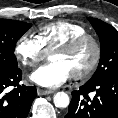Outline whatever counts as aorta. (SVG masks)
Segmentation results:
<instances>
[{
	"label": "aorta",
	"instance_id": "1",
	"mask_svg": "<svg viewBox=\"0 0 118 118\" xmlns=\"http://www.w3.org/2000/svg\"><path fill=\"white\" fill-rule=\"evenodd\" d=\"M53 102L57 108H66L69 106L70 98L65 92H57L53 97Z\"/></svg>",
	"mask_w": 118,
	"mask_h": 118
}]
</instances>
